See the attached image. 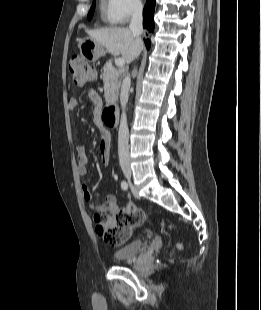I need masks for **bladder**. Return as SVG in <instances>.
Listing matches in <instances>:
<instances>
[{"label": "bladder", "instance_id": "1", "mask_svg": "<svg viewBox=\"0 0 261 310\" xmlns=\"http://www.w3.org/2000/svg\"><path fill=\"white\" fill-rule=\"evenodd\" d=\"M143 241L141 239H133L124 245L116 248L112 255L116 261H127L133 259L142 249Z\"/></svg>", "mask_w": 261, "mask_h": 310}]
</instances>
